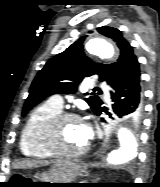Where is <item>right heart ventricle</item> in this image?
<instances>
[{
	"instance_id": "1",
	"label": "right heart ventricle",
	"mask_w": 160,
	"mask_h": 187,
	"mask_svg": "<svg viewBox=\"0 0 160 187\" xmlns=\"http://www.w3.org/2000/svg\"><path fill=\"white\" fill-rule=\"evenodd\" d=\"M61 112V108L50 101L37 106L29 115L20 138L23 155L34 159H45L54 155L44 144V130L49 120Z\"/></svg>"
}]
</instances>
